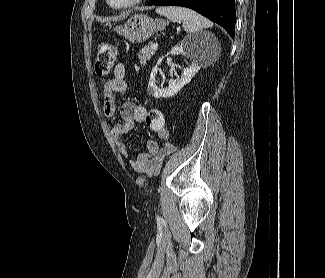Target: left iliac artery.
Segmentation results:
<instances>
[{"instance_id":"1","label":"left iliac artery","mask_w":325,"mask_h":278,"mask_svg":"<svg viewBox=\"0 0 325 278\" xmlns=\"http://www.w3.org/2000/svg\"><path fill=\"white\" fill-rule=\"evenodd\" d=\"M157 221H161L162 219L157 215L156 216Z\"/></svg>"}]
</instances>
